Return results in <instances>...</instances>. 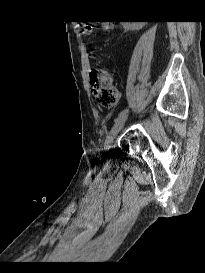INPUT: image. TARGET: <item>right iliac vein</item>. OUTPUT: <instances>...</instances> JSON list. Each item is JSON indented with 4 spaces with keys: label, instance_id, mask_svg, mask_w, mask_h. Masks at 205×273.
<instances>
[{
    "label": "right iliac vein",
    "instance_id": "63e3f726",
    "mask_svg": "<svg viewBox=\"0 0 205 273\" xmlns=\"http://www.w3.org/2000/svg\"><path fill=\"white\" fill-rule=\"evenodd\" d=\"M127 118H128V114L125 113L116 120L115 124L113 125L112 129L110 130V132L105 140V144H104L105 149H109L111 147L113 140L115 139L117 134L123 128L124 124L127 121Z\"/></svg>",
    "mask_w": 205,
    "mask_h": 273
}]
</instances>
